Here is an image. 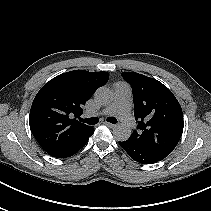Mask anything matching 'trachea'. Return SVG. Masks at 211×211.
Listing matches in <instances>:
<instances>
[{"label":"trachea","instance_id":"trachea-1","mask_svg":"<svg viewBox=\"0 0 211 211\" xmlns=\"http://www.w3.org/2000/svg\"><path fill=\"white\" fill-rule=\"evenodd\" d=\"M108 122L112 123V124H116L117 123V119L114 117H108L106 119ZM81 122L87 123L89 125H95L99 122V119L97 117H91V118H86V119H82L80 118Z\"/></svg>","mask_w":211,"mask_h":211}]
</instances>
